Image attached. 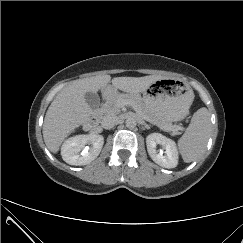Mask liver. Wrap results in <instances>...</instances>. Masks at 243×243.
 Returning a JSON list of instances; mask_svg holds the SVG:
<instances>
[{
  "mask_svg": "<svg viewBox=\"0 0 243 243\" xmlns=\"http://www.w3.org/2000/svg\"><path fill=\"white\" fill-rule=\"evenodd\" d=\"M163 78L160 75H150L116 77L111 80L110 75H100L72 82L59 92L46 112L43 138L47 148L57 153L64 139L89 119L92 109L85 100L87 92L96 93L111 81L114 89L136 96Z\"/></svg>",
  "mask_w": 243,
  "mask_h": 243,
  "instance_id": "6515ba94",
  "label": "liver"
}]
</instances>
